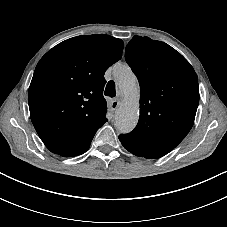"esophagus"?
Instances as JSON below:
<instances>
[{
  "instance_id": "obj_1",
  "label": "esophagus",
  "mask_w": 227,
  "mask_h": 227,
  "mask_svg": "<svg viewBox=\"0 0 227 227\" xmlns=\"http://www.w3.org/2000/svg\"><path fill=\"white\" fill-rule=\"evenodd\" d=\"M119 105H120V102L118 100H116V99L115 100H112L110 102V109H111V111H116L118 109Z\"/></svg>"
}]
</instances>
